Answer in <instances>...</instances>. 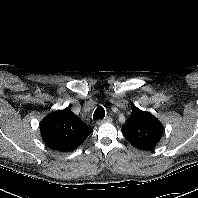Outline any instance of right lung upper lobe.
I'll return each mask as SVG.
<instances>
[{"mask_svg": "<svg viewBox=\"0 0 198 198\" xmlns=\"http://www.w3.org/2000/svg\"><path fill=\"white\" fill-rule=\"evenodd\" d=\"M40 130L47 145L63 152L78 148L93 131L69 107L47 115Z\"/></svg>", "mask_w": 198, "mask_h": 198, "instance_id": "obj_1", "label": "right lung upper lobe"}]
</instances>
